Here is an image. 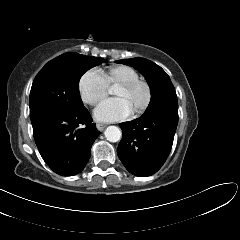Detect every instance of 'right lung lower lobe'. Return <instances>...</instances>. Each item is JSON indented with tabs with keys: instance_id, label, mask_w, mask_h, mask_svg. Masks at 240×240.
Masks as SVG:
<instances>
[{
	"instance_id": "obj_1",
	"label": "right lung lower lobe",
	"mask_w": 240,
	"mask_h": 240,
	"mask_svg": "<svg viewBox=\"0 0 240 240\" xmlns=\"http://www.w3.org/2000/svg\"><path fill=\"white\" fill-rule=\"evenodd\" d=\"M32 126L43 160L62 176L76 175L84 169L100 134L85 107L47 115L32 122Z\"/></svg>"
}]
</instances>
